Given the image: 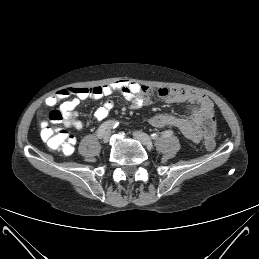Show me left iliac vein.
Instances as JSON below:
<instances>
[{"mask_svg": "<svg viewBox=\"0 0 259 259\" xmlns=\"http://www.w3.org/2000/svg\"><path fill=\"white\" fill-rule=\"evenodd\" d=\"M133 136H134V138L135 139H137L138 141H140L143 145H145V146H151L152 145V140H151V138L147 135V134H145V133H143V132H141V131H135V132H133Z\"/></svg>", "mask_w": 259, "mask_h": 259, "instance_id": "left-iliac-vein-1", "label": "left iliac vein"}]
</instances>
